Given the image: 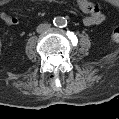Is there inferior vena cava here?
Masks as SVG:
<instances>
[{"mask_svg": "<svg viewBox=\"0 0 119 119\" xmlns=\"http://www.w3.org/2000/svg\"><path fill=\"white\" fill-rule=\"evenodd\" d=\"M50 28H51L50 24L43 23V24L38 25L37 32L45 33V32H48L50 30Z\"/></svg>", "mask_w": 119, "mask_h": 119, "instance_id": "1", "label": "inferior vena cava"}]
</instances>
